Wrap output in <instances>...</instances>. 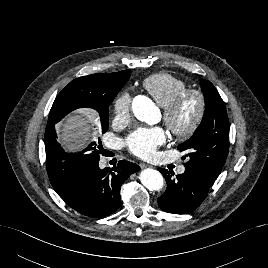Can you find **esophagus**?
Instances as JSON below:
<instances>
[{"label":"esophagus","instance_id":"1","mask_svg":"<svg viewBox=\"0 0 268 268\" xmlns=\"http://www.w3.org/2000/svg\"><path fill=\"white\" fill-rule=\"evenodd\" d=\"M140 167L141 168H146V167H149V165L145 164V163H140Z\"/></svg>","mask_w":268,"mask_h":268}]
</instances>
